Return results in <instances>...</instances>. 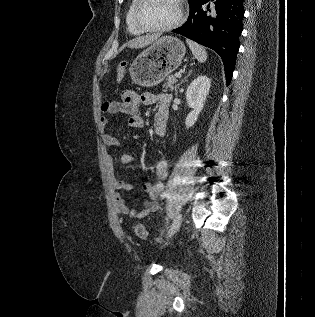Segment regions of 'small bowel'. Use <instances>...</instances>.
Wrapping results in <instances>:
<instances>
[{
  "instance_id": "c3829d8e",
  "label": "small bowel",
  "mask_w": 315,
  "mask_h": 317,
  "mask_svg": "<svg viewBox=\"0 0 315 317\" xmlns=\"http://www.w3.org/2000/svg\"><path fill=\"white\" fill-rule=\"evenodd\" d=\"M171 97L169 94H155L146 92L137 94L132 91H124L120 101H111L103 104L102 111L104 116L101 118L102 142L107 147H120V141L110 133L105 132V127L108 123L107 115L124 113L129 116L128 125L132 128H142L144 119L139 112L141 105H155L154 113V131L159 137L166 133L167 121L169 116V103ZM134 160L133 155L124 153L119 156L121 164H128ZM109 170L113 174L114 160L111 156L108 157ZM155 179L151 182L143 184V190L148 194V200L144 202V208L137 210L131 208L125 202L122 192L131 191L135 185L131 182L113 179L112 187L115 191V203L118 211L133 219L144 218L159 209V198L164 190V180L168 175V163L164 160L158 161L154 165Z\"/></svg>"
}]
</instances>
